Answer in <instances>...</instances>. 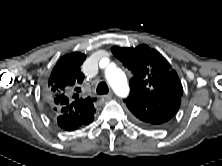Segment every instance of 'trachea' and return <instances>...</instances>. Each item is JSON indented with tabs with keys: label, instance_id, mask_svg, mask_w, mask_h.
<instances>
[{
	"label": "trachea",
	"instance_id": "obj_1",
	"mask_svg": "<svg viewBox=\"0 0 222 166\" xmlns=\"http://www.w3.org/2000/svg\"><path fill=\"white\" fill-rule=\"evenodd\" d=\"M109 92V88L105 82H100L97 86V94L104 95Z\"/></svg>",
	"mask_w": 222,
	"mask_h": 166
}]
</instances>
